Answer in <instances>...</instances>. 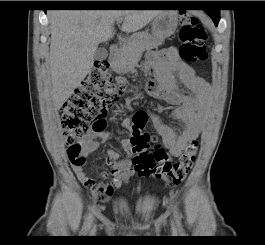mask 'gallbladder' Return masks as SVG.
Instances as JSON below:
<instances>
[{"label": "gallbladder", "mask_w": 265, "mask_h": 245, "mask_svg": "<svg viewBox=\"0 0 265 245\" xmlns=\"http://www.w3.org/2000/svg\"><path fill=\"white\" fill-rule=\"evenodd\" d=\"M108 56V52L104 47L97 48L94 54V59L98 61L105 60Z\"/></svg>", "instance_id": "1"}]
</instances>
